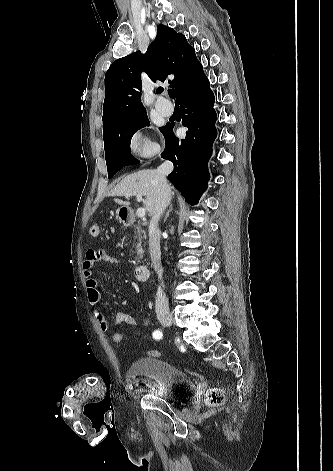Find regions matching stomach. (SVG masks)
Here are the masks:
<instances>
[{
	"mask_svg": "<svg viewBox=\"0 0 333 471\" xmlns=\"http://www.w3.org/2000/svg\"><path fill=\"white\" fill-rule=\"evenodd\" d=\"M120 213H121V208L117 210V216H118V218H119V219H122V217H121V214H120Z\"/></svg>",
	"mask_w": 333,
	"mask_h": 471,
	"instance_id": "stomach-1",
	"label": "stomach"
}]
</instances>
